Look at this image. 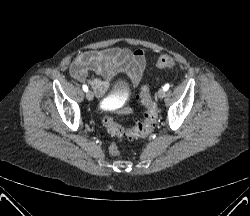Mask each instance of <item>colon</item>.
<instances>
[{
	"instance_id": "obj_1",
	"label": "colon",
	"mask_w": 250,
	"mask_h": 216,
	"mask_svg": "<svg viewBox=\"0 0 250 216\" xmlns=\"http://www.w3.org/2000/svg\"><path fill=\"white\" fill-rule=\"evenodd\" d=\"M156 66L159 69H172L175 66V61L170 55L162 54L158 57ZM139 99L145 107L144 116L131 128L120 126L108 115L103 116L102 123L111 135L119 138L134 139L145 137L153 131L157 121L158 109L147 84L142 86ZM109 152L113 156H118L121 150L116 143H112L109 147Z\"/></svg>"
}]
</instances>
